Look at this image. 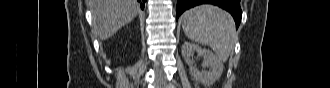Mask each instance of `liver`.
I'll list each match as a JSON object with an SVG mask.
<instances>
[{
	"mask_svg": "<svg viewBox=\"0 0 330 88\" xmlns=\"http://www.w3.org/2000/svg\"><path fill=\"white\" fill-rule=\"evenodd\" d=\"M94 33L101 40L112 37L137 15L136 0H90Z\"/></svg>",
	"mask_w": 330,
	"mask_h": 88,
	"instance_id": "6515ba94",
	"label": "liver"
}]
</instances>
